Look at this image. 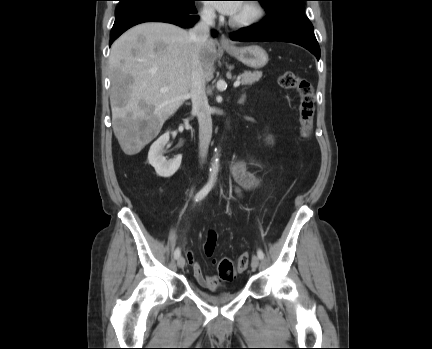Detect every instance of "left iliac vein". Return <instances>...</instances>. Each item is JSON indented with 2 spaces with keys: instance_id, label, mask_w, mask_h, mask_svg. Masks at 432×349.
<instances>
[{
  "instance_id": "left-iliac-vein-1",
  "label": "left iliac vein",
  "mask_w": 432,
  "mask_h": 349,
  "mask_svg": "<svg viewBox=\"0 0 432 349\" xmlns=\"http://www.w3.org/2000/svg\"><path fill=\"white\" fill-rule=\"evenodd\" d=\"M258 265H259V257L256 256V255H254V256L252 257L251 267H252L253 269H256V268L258 267Z\"/></svg>"
}]
</instances>
